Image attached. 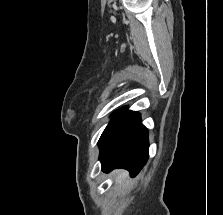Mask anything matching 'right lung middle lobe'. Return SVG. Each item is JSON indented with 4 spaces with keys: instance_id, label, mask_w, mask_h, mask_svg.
<instances>
[{
    "instance_id": "dd1d6c3e",
    "label": "right lung middle lobe",
    "mask_w": 223,
    "mask_h": 215,
    "mask_svg": "<svg viewBox=\"0 0 223 215\" xmlns=\"http://www.w3.org/2000/svg\"><path fill=\"white\" fill-rule=\"evenodd\" d=\"M131 113V111L123 108L121 110L116 111L113 114L112 120L109 122L104 132L102 133L98 145L100 146L107 137L113 132V130Z\"/></svg>"
}]
</instances>
